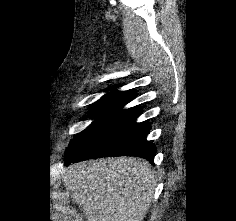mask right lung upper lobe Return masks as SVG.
<instances>
[{
    "instance_id": "obj_1",
    "label": "right lung upper lobe",
    "mask_w": 236,
    "mask_h": 221,
    "mask_svg": "<svg viewBox=\"0 0 236 221\" xmlns=\"http://www.w3.org/2000/svg\"><path fill=\"white\" fill-rule=\"evenodd\" d=\"M114 88L112 87V88H109V90H113ZM122 93H127V94H134V95H136V93L134 92V91H132V90H128V91H118V90H113V91H111V92H109L108 94H122ZM107 94V95H108Z\"/></svg>"
}]
</instances>
